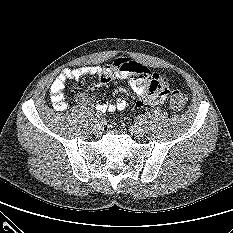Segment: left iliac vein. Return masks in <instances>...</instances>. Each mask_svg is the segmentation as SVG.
<instances>
[{
    "mask_svg": "<svg viewBox=\"0 0 233 233\" xmlns=\"http://www.w3.org/2000/svg\"><path fill=\"white\" fill-rule=\"evenodd\" d=\"M136 137H142L144 135V130L141 125L135 124L130 130Z\"/></svg>",
    "mask_w": 233,
    "mask_h": 233,
    "instance_id": "left-iliac-vein-1",
    "label": "left iliac vein"
}]
</instances>
